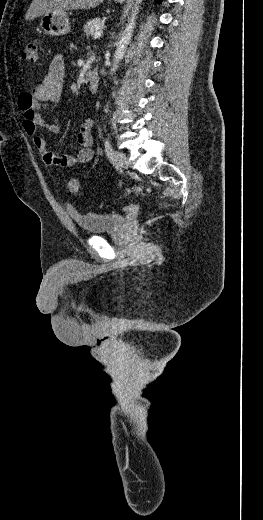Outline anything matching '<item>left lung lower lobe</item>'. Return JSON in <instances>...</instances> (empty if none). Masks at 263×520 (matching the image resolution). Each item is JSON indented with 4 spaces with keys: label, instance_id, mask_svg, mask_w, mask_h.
Listing matches in <instances>:
<instances>
[{
    "label": "left lung lower lobe",
    "instance_id": "0a47b994",
    "mask_svg": "<svg viewBox=\"0 0 263 520\" xmlns=\"http://www.w3.org/2000/svg\"><path fill=\"white\" fill-rule=\"evenodd\" d=\"M156 2H157V3H160V2H161V0H156Z\"/></svg>",
    "mask_w": 263,
    "mask_h": 520
}]
</instances>
